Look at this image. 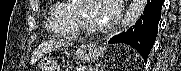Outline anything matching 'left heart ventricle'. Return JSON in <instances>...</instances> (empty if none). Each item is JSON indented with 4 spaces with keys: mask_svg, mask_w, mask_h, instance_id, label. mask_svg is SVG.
<instances>
[{
    "mask_svg": "<svg viewBox=\"0 0 181 71\" xmlns=\"http://www.w3.org/2000/svg\"><path fill=\"white\" fill-rule=\"evenodd\" d=\"M82 5V15L85 22L92 26H102L104 24L102 20L103 8L105 6L104 1H88L82 3Z\"/></svg>",
    "mask_w": 181,
    "mask_h": 71,
    "instance_id": "left-heart-ventricle-1",
    "label": "left heart ventricle"
}]
</instances>
